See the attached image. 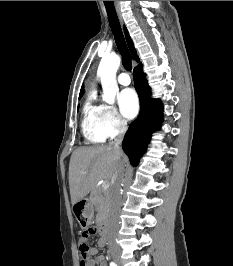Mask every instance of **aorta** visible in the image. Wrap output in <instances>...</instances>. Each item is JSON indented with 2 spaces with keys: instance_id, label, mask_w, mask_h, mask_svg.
I'll use <instances>...</instances> for the list:
<instances>
[{
  "instance_id": "obj_1",
  "label": "aorta",
  "mask_w": 233,
  "mask_h": 266,
  "mask_svg": "<svg viewBox=\"0 0 233 266\" xmlns=\"http://www.w3.org/2000/svg\"><path fill=\"white\" fill-rule=\"evenodd\" d=\"M121 58L117 54L104 56L99 64L97 75L100 77L103 95V101L113 104L118 85L116 81V72L120 66Z\"/></svg>"
}]
</instances>
